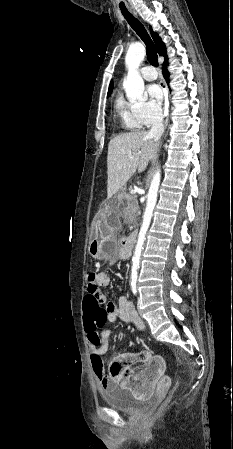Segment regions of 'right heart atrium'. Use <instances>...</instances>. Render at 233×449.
I'll return each instance as SVG.
<instances>
[{
  "label": "right heart atrium",
  "mask_w": 233,
  "mask_h": 449,
  "mask_svg": "<svg viewBox=\"0 0 233 449\" xmlns=\"http://www.w3.org/2000/svg\"><path fill=\"white\" fill-rule=\"evenodd\" d=\"M135 112L142 125L150 126L162 117L160 107L151 101L136 102Z\"/></svg>",
  "instance_id": "1"
}]
</instances>
